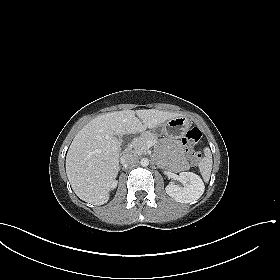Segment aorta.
Wrapping results in <instances>:
<instances>
[{
  "mask_svg": "<svg viewBox=\"0 0 280 280\" xmlns=\"http://www.w3.org/2000/svg\"><path fill=\"white\" fill-rule=\"evenodd\" d=\"M140 164L141 166L146 167L149 165V160L147 158H142Z\"/></svg>",
  "mask_w": 280,
  "mask_h": 280,
  "instance_id": "obj_1",
  "label": "aorta"
}]
</instances>
